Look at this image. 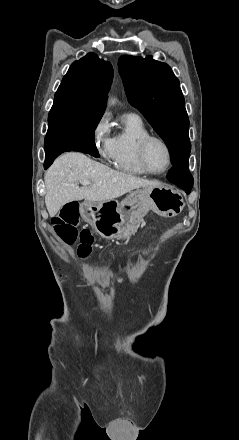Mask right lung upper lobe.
<instances>
[{"label": "right lung upper lobe", "mask_w": 239, "mask_h": 440, "mask_svg": "<svg viewBox=\"0 0 239 440\" xmlns=\"http://www.w3.org/2000/svg\"><path fill=\"white\" fill-rule=\"evenodd\" d=\"M113 79L110 62L95 53L72 63L55 94L53 108L103 114Z\"/></svg>", "instance_id": "obj_1"}]
</instances>
